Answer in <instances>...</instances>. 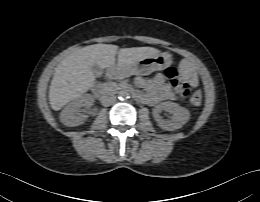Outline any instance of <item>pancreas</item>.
I'll return each instance as SVG.
<instances>
[{
    "label": "pancreas",
    "instance_id": "cf45deb5",
    "mask_svg": "<svg viewBox=\"0 0 260 202\" xmlns=\"http://www.w3.org/2000/svg\"><path fill=\"white\" fill-rule=\"evenodd\" d=\"M103 86L106 91L114 90L117 87L115 83H105Z\"/></svg>",
    "mask_w": 260,
    "mask_h": 202
}]
</instances>
